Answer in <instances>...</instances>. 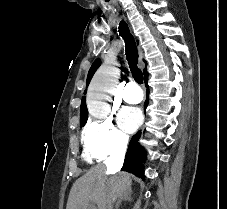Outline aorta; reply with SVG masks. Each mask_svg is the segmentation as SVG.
Instances as JSON below:
<instances>
[{
    "mask_svg": "<svg viewBox=\"0 0 227 209\" xmlns=\"http://www.w3.org/2000/svg\"><path fill=\"white\" fill-rule=\"evenodd\" d=\"M114 60H107L95 73L88 90L87 107L89 113L96 117H105L110 106L108 101L114 93L119 69L115 66Z\"/></svg>",
    "mask_w": 227,
    "mask_h": 209,
    "instance_id": "1",
    "label": "aorta"
}]
</instances>
